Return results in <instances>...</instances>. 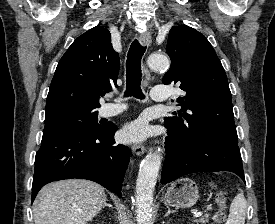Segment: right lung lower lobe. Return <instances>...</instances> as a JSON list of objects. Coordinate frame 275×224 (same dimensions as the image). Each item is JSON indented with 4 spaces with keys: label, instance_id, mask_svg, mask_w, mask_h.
<instances>
[{
    "label": "right lung lower lobe",
    "instance_id": "98d812e1",
    "mask_svg": "<svg viewBox=\"0 0 275 224\" xmlns=\"http://www.w3.org/2000/svg\"><path fill=\"white\" fill-rule=\"evenodd\" d=\"M116 130L114 124L97 132L61 127L44 129L35 157L32 202L47 183L72 178L97 182L121 197L129 149L115 142Z\"/></svg>",
    "mask_w": 275,
    "mask_h": 224
}]
</instances>
